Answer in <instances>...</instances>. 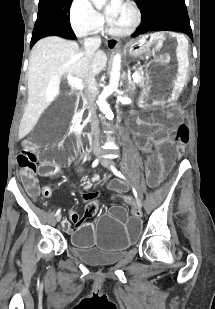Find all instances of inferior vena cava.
<instances>
[{
    "instance_id": "1",
    "label": "inferior vena cava",
    "mask_w": 215,
    "mask_h": 309,
    "mask_svg": "<svg viewBox=\"0 0 215 309\" xmlns=\"http://www.w3.org/2000/svg\"><path fill=\"white\" fill-rule=\"evenodd\" d=\"M85 58L88 64H91L92 58L101 44L100 36H91V38H84ZM85 90L84 96L88 102V108L91 112V132L93 134L94 144H98L100 136L99 120L96 114L95 100H96V78L93 72H88L84 78Z\"/></svg>"
}]
</instances>
